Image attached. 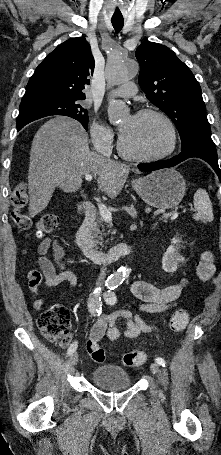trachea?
<instances>
[{"mask_svg":"<svg viewBox=\"0 0 221 455\" xmlns=\"http://www.w3.org/2000/svg\"><path fill=\"white\" fill-rule=\"evenodd\" d=\"M112 25L116 32L121 31L124 25V19L123 18H112L111 19Z\"/></svg>","mask_w":221,"mask_h":455,"instance_id":"trachea-1","label":"trachea"}]
</instances>
